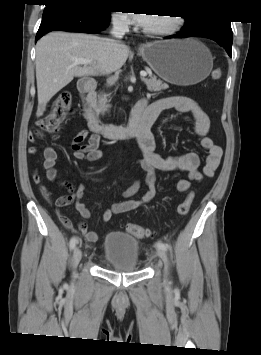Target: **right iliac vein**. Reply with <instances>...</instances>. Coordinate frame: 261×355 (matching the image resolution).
Returning a JSON list of instances; mask_svg holds the SVG:
<instances>
[{
  "mask_svg": "<svg viewBox=\"0 0 261 355\" xmlns=\"http://www.w3.org/2000/svg\"><path fill=\"white\" fill-rule=\"evenodd\" d=\"M82 258V251L79 247H76L73 252V265L76 267Z\"/></svg>",
  "mask_w": 261,
  "mask_h": 355,
  "instance_id": "63e3f726",
  "label": "right iliac vein"
}]
</instances>
